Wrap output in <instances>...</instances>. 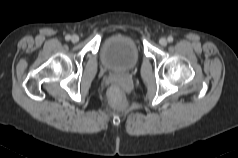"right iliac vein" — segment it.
<instances>
[{
    "mask_svg": "<svg viewBox=\"0 0 238 158\" xmlns=\"http://www.w3.org/2000/svg\"><path fill=\"white\" fill-rule=\"evenodd\" d=\"M71 41H72L73 43H76V42L79 41V37H78L77 35H73V36L71 37Z\"/></svg>",
    "mask_w": 238,
    "mask_h": 158,
    "instance_id": "63e3f726",
    "label": "right iliac vein"
}]
</instances>
